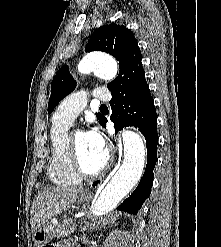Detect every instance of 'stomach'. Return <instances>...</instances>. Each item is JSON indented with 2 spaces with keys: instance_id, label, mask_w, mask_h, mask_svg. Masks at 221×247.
<instances>
[{
  "instance_id": "0dacf381",
  "label": "stomach",
  "mask_w": 221,
  "mask_h": 247,
  "mask_svg": "<svg viewBox=\"0 0 221 247\" xmlns=\"http://www.w3.org/2000/svg\"><path fill=\"white\" fill-rule=\"evenodd\" d=\"M89 196L83 193H80L78 200L81 203L88 201ZM54 238V232L52 225L48 222L42 224L36 228L33 232V240L35 247H46Z\"/></svg>"
}]
</instances>
